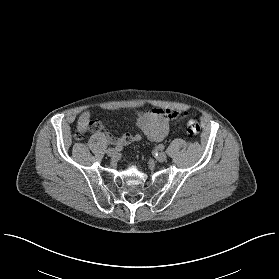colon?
<instances>
[{"mask_svg":"<svg viewBox=\"0 0 279 279\" xmlns=\"http://www.w3.org/2000/svg\"><path fill=\"white\" fill-rule=\"evenodd\" d=\"M87 131H89V128H81L78 127L76 133H75V138L77 140H81L84 138L85 134L87 133ZM187 132L188 135L192 138H195L198 136L199 132H200V126L199 123L196 119H190L187 123Z\"/></svg>","mask_w":279,"mask_h":279,"instance_id":"1","label":"colon"}]
</instances>
